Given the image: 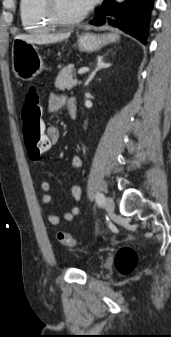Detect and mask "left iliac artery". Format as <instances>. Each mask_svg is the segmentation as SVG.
Here are the masks:
<instances>
[{"mask_svg": "<svg viewBox=\"0 0 171 337\" xmlns=\"http://www.w3.org/2000/svg\"><path fill=\"white\" fill-rule=\"evenodd\" d=\"M96 202L99 206H102L105 202V197L102 193H97L96 194Z\"/></svg>", "mask_w": 171, "mask_h": 337, "instance_id": "left-iliac-artery-1", "label": "left iliac artery"}]
</instances>
